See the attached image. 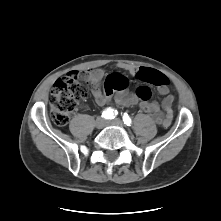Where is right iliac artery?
<instances>
[{
	"label": "right iliac artery",
	"instance_id": "1",
	"mask_svg": "<svg viewBox=\"0 0 221 221\" xmlns=\"http://www.w3.org/2000/svg\"><path fill=\"white\" fill-rule=\"evenodd\" d=\"M116 113L117 112L115 111V114ZM115 114H114V111L112 109L108 108L107 110L103 111L102 117H104L105 119H114Z\"/></svg>",
	"mask_w": 221,
	"mask_h": 221
}]
</instances>
